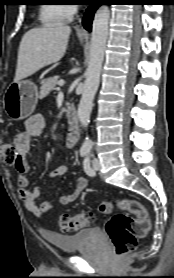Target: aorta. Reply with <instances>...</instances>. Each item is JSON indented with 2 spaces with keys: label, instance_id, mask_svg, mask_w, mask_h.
Returning a JSON list of instances; mask_svg holds the SVG:
<instances>
[{
  "label": "aorta",
  "instance_id": "obj_1",
  "mask_svg": "<svg viewBox=\"0 0 174 278\" xmlns=\"http://www.w3.org/2000/svg\"><path fill=\"white\" fill-rule=\"evenodd\" d=\"M109 17L110 10L108 6L102 5L96 11L93 21L88 68L85 72L83 93L78 106V118L81 126L85 129L88 127L93 107V99L99 87L106 41L108 38ZM82 148L85 150H90L92 148V141L89 137L85 138Z\"/></svg>",
  "mask_w": 174,
  "mask_h": 278
}]
</instances>
